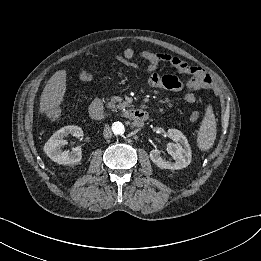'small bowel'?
<instances>
[{"instance_id": "obj_1", "label": "small bowel", "mask_w": 261, "mask_h": 261, "mask_svg": "<svg viewBox=\"0 0 261 261\" xmlns=\"http://www.w3.org/2000/svg\"><path fill=\"white\" fill-rule=\"evenodd\" d=\"M139 57L147 62L145 70L148 74L149 85L153 88L165 89L168 91H180L182 89H188L194 91L196 89L191 88L189 81L185 84L175 75H160L157 73V66L160 62H168L172 66L178 68L182 60L178 57L171 56L166 53H156L149 50H143L137 53L133 48H126L121 55L117 57V60L125 65L134 66V58ZM80 79L83 82H90L92 80V74L88 71H83L80 75ZM183 102L190 106L196 102L195 94L188 92L184 95Z\"/></svg>"}]
</instances>
